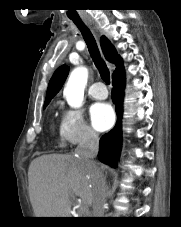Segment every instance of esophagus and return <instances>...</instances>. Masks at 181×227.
I'll list each match as a JSON object with an SVG mask.
<instances>
[{
  "label": "esophagus",
  "instance_id": "esophagus-1",
  "mask_svg": "<svg viewBox=\"0 0 181 227\" xmlns=\"http://www.w3.org/2000/svg\"><path fill=\"white\" fill-rule=\"evenodd\" d=\"M86 24L89 26V27H92V24L90 22H86Z\"/></svg>",
  "mask_w": 181,
  "mask_h": 227
}]
</instances>
